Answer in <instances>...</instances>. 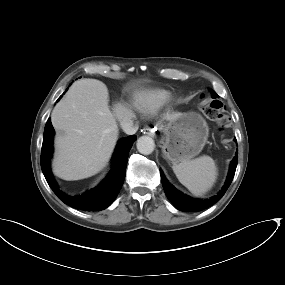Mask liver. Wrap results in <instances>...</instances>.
Segmentation results:
<instances>
[{"label": "liver", "instance_id": "liver-1", "mask_svg": "<svg viewBox=\"0 0 285 285\" xmlns=\"http://www.w3.org/2000/svg\"><path fill=\"white\" fill-rule=\"evenodd\" d=\"M129 114L130 110L122 104H116L113 112L109 109L108 90L103 82L96 79L75 81L51 115L53 127L63 132L55 138V175L71 181L100 172L118 139L116 121ZM180 114H167L166 119Z\"/></svg>", "mask_w": 285, "mask_h": 285}]
</instances>
